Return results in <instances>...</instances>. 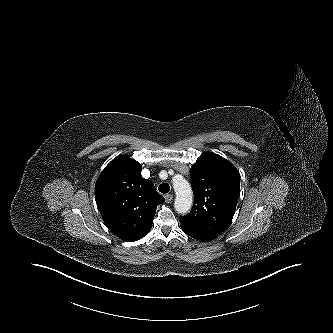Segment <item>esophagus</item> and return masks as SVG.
Here are the masks:
<instances>
[{
    "label": "esophagus",
    "mask_w": 333,
    "mask_h": 333,
    "mask_svg": "<svg viewBox=\"0 0 333 333\" xmlns=\"http://www.w3.org/2000/svg\"><path fill=\"white\" fill-rule=\"evenodd\" d=\"M166 203H170L173 200V195L172 194H167L165 196Z\"/></svg>",
    "instance_id": "1"
}]
</instances>
